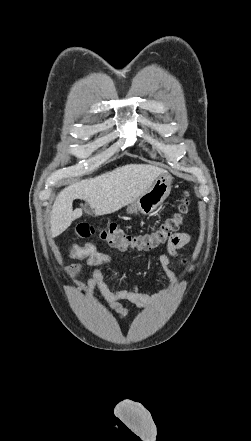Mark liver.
Wrapping results in <instances>:
<instances>
[{
	"label": "liver",
	"mask_w": 251,
	"mask_h": 441,
	"mask_svg": "<svg viewBox=\"0 0 251 441\" xmlns=\"http://www.w3.org/2000/svg\"><path fill=\"white\" fill-rule=\"evenodd\" d=\"M166 171L147 164H128L94 178L81 180L63 189L55 199L51 212V233L56 237L82 216L73 210L75 199L86 201L95 216L111 214L143 194Z\"/></svg>",
	"instance_id": "obj_1"
}]
</instances>
